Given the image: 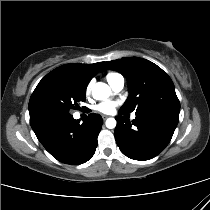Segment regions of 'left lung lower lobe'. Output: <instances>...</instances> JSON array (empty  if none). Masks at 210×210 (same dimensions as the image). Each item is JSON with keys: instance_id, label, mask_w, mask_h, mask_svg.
Segmentation results:
<instances>
[{"instance_id": "obj_1", "label": "left lung lower lobe", "mask_w": 210, "mask_h": 210, "mask_svg": "<svg viewBox=\"0 0 210 210\" xmlns=\"http://www.w3.org/2000/svg\"><path fill=\"white\" fill-rule=\"evenodd\" d=\"M123 113L120 110L115 117L117 145L127 157L140 161L157 156L168 145L179 120V114L148 111L137 113L131 123Z\"/></svg>"}]
</instances>
